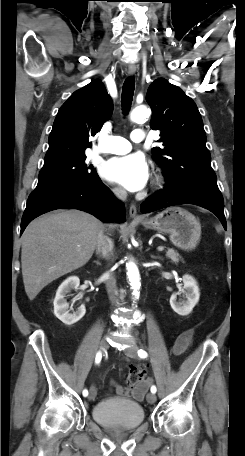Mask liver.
<instances>
[{"label":"liver","mask_w":245,"mask_h":456,"mask_svg":"<svg viewBox=\"0 0 245 456\" xmlns=\"http://www.w3.org/2000/svg\"><path fill=\"white\" fill-rule=\"evenodd\" d=\"M103 224L79 210H62L32 221L22 235L21 264L30 300L49 283L84 266L92 257Z\"/></svg>","instance_id":"obj_1"}]
</instances>
